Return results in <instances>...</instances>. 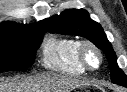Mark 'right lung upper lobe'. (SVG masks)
<instances>
[{
    "label": "right lung upper lobe",
    "mask_w": 127,
    "mask_h": 92,
    "mask_svg": "<svg viewBox=\"0 0 127 92\" xmlns=\"http://www.w3.org/2000/svg\"><path fill=\"white\" fill-rule=\"evenodd\" d=\"M48 20L45 19L34 25H19L12 22H3L0 24V36H24L39 30H47Z\"/></svg>",
    "instance_id": "obj_1"
}]
</instances>
